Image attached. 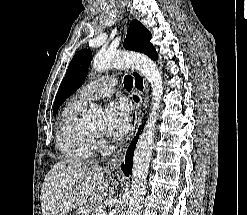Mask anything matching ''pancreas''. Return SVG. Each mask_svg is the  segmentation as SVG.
<instances>
[{
    "instance_id": "1",
    "label": "pancreas",
    "mask_w": 247,
    "mask_h": 215,
    "mask_svg": "<svg viewBox=\"0 0 247 215\" xmlns=\"http://www.w3.org/2000/svg\"><path fill=\"white\" fill-rule=\"evenodd\" d=\"M99 205V202H91L88 205L82 206L79 210L81 215H95L96 208Z\"/></svg>"
}]
</instances>
